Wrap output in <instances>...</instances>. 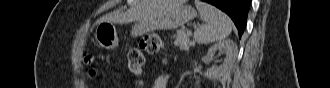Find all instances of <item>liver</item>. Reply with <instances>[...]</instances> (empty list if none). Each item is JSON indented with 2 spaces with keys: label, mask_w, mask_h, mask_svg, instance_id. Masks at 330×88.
Instances as JSON below:
<instances>
[{
  "label": "liver",
  "mask_w": 330,
  "mask_h": 88,
  "mask_svg": "<svg viewBox=\"0 0 330 88\" xmlns=\"http://www.w3.org/2000/svg\"><path fill=\"white\" fill-rule=\"evenodd\" d=\"M156 0H140L123 14H109L106 20H120L122 22L140 21L146 19L153 11Z\"/></svg>",
  "instance_id": "liver-1"
}]
</instances>
